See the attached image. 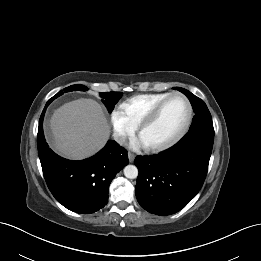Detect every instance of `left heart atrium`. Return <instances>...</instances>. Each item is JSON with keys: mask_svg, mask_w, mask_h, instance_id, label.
I'll list each match as a JSON object with an SVG mask.
<instances>
[{"mask_svg": "<svg viewBox=\"0 0 261 261\" xmlns=\"http://www.w3.org/2000/svg\"><path fill=\"white\" fill-rule=\"evenodd\" d=\"M142 145H144V144H143V142L141 141L140 138L134 140L133 143H132V146H134V147H139V146H142Z\"/></svg>", "mask_w": 261, "mask_h": 261, "instance_id": "1", "label": "left heart atrium"}]
</instances>
